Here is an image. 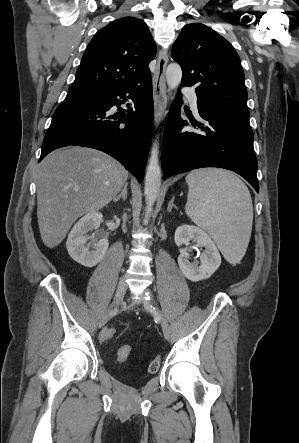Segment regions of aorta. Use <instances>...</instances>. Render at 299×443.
I'll list each match as a JSON object with an SVG mask.
<instances>
[{"label": "aorta", "mask_w": 299, "mask_h": 443, "mask_svg": "<svg viewBox=\"0 0 299 443\" xmlns=\"http://www.w3.org/2000/svg\"><path fill=\"white\" fill-rule=\"evenodd\" d=\"M182 70L177 63L168 65L166 70V81L170 90L175 89L181 82ZM159 142L158 137L154 140L151 148V156L145 176V219L144 223H147L153 210L154 203L159 195L161 186V170L159 166Z\"/></svg>", "instance_id": "1"}]
</instances>
